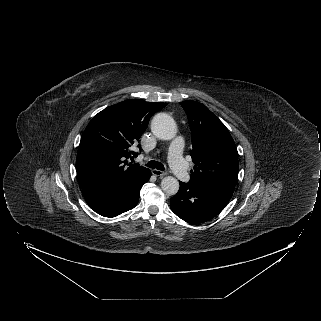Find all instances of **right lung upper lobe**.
Instances as JSON below:
<instances>
[{"instance_id":"cb5924a9","label":"right lung upper lobe","mask_w":321,"mask_h":321,"mask_svg":"<svg viewBox=\"0 0 321 321\" xmlns=\"http://www.w3.org/2000/svg\"><path fill=\"white\" fill-rule=\"evenodd\" d=\"M166 103L125 100L99 112L86 127L79 144L76 167L83 191L138 178L149 169L128 164L131 145L138 141L151 116ZM140 148V146L138 145Z\"/></svg>"}]
</instances>
